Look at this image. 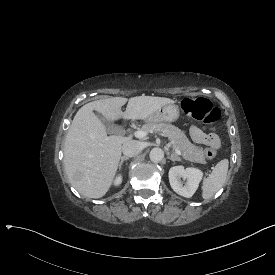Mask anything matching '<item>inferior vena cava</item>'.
Returning <instances> with one entry per match:
<instances>
[{
    "mask_svg": "<svg viewBox=\"0 0 275 275\" xmlns=\"http://www.w3.org/2000/svg\"><path fill=\"white\" fill-rule=\"evenodd\" d=\"M141 145L136 140L126 141L122 146V152L127 157H133L141 151Z\"/></svg>",
    "mask_w": 275,
    "mask_h": 275,
    "instance_id": "inferior-vena-cava-1",
    "label": "inferior vena cava"
}]
</instances>
